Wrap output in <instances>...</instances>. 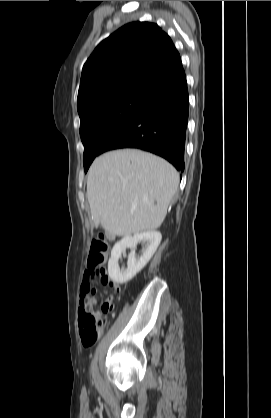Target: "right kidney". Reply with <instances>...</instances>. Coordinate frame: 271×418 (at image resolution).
Segmentation results:
<instances>
[{
    "label": "right kidney",
    "mask_w": 271,
    "mask_h": 418,
    "mask_svg": "<svg viewBox=\"0 0 271 418\" xmlns=\"http://www.w3.org/2000/svg\"><path fill=\"white\" fill-rule=\"evenodd\" d=\"M162 239V235L158 231H147L127 236L118 241L112 251L108 261L109 277L116 283L123 284L130 281L151 259L157 250ZM139 242L146 244L139 257L135 255V249ZM130 248L131 253L128 256L127 268L119 267V258L126 249Z\"/></svg>",
    "instance_id": "right-kidney-1"
}]
</instances>
